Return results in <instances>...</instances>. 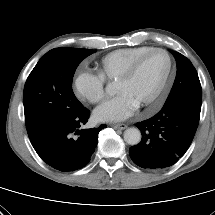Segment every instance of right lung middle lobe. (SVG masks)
Returning a JSON list of instances; mask_svg holds the SVG:
<instances>
[{"label": "right lung middle lobe", "instance_id": "dd1d6c3e", "mask_svg": "<svg viewBox=\"0 0 215 215\" xmlns=\"http://www.w3.org/2000/svg\"><path fill=\"white\" fill-rule=\"evenodd\" d=\"M96 50L55 48L47 52L30 73L23 103L29 138L84 108L72 90L77 66Z\"/></svg>", "mask_w": 215, "mask_h": 215}]
</instances>
